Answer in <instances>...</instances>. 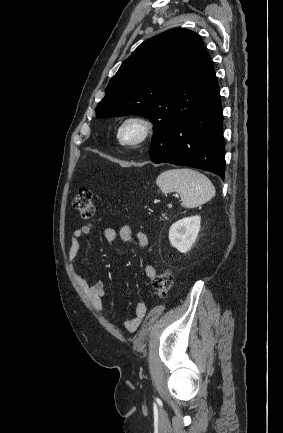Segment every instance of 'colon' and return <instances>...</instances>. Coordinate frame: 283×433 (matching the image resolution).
Returning <instances> with one entry per match:
<instances>
[{
    "label": "colon",
    "instance_id": "colon-1",
    "mask_svg": "<svg viewBox=\"0 0 283 433\" xmlns=\"http://www.w3.org/2000/svg\"><path fill=\"white\" fill-rule=\"evenodd\" d=\"M72 206L76 213L83 219H91L94 215V200L90 189L82 188L72 199ZM173 285V273L166 269L160 272L153 280L154 294L164 297Z\"/></svg>",
    "mask_w": 283,
    "mask_h": 433
}]
</instances>
